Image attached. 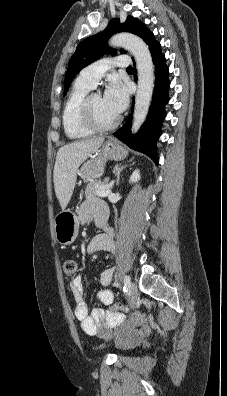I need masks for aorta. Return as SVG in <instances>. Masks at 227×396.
I'll list each match as a JSON object with an SVG mask.
<instances>
[{"instance_id": "762f6f07", "label": "aorta", "mask_w": 227, "mask_h": 396, "mask_svg": "<svg viewBox=\"0 0 227 396\" xmlns=\"http://www.w3.org/2000/svg\"><path fill=\"white\" fill-rule=\"evenodd\" d=\"M114 47H123L134 56L138 71V88L135 98L132 133H136L144 123L154 87V66L151 53L145 42L136 35L119 33L109 41Z\"/></svg>"}]
</instances>
